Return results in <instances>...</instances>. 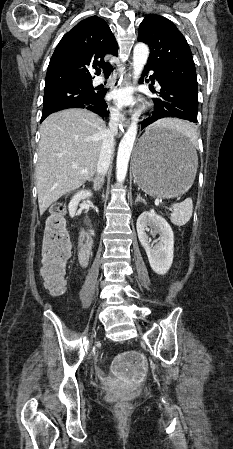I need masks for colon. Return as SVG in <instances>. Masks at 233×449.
Here are the masks:
<instances>
[{
  "label": "colon",
  "instance_id": "colon-1",
  "mask_svg": "<svg viewBox=\"0 0 233 449\" xmlns=\"http://www.w3.org/2000/svg\"><path fill=\"white\" fill-rule=\"evenodd\" d=\"M64 215V204L52 205L42 238L41 274L54 294H61L65 289V269L70 257V237ZM125 408L124 403L117 405L118 411Z\"/></svg>",
  "mask_w": 233,
  "mask_h": 449
}]
</instances>
